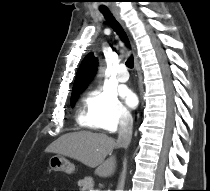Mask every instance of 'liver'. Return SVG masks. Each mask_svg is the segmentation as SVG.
<instances>
[{"mask_svg": "<svg viewBox=\"0 0 210 191\" xmlns=\"http://www.w3.org/2000/svg\"><path fill=\"white\" fill-rule=\"evenodd\" d=\"M118 147L115 140L106 134L90 131L71 132L62 135L46 148V152L67 156L84 165L95 168V173L109 177L116 169V158L110 156L113 149Z\"/></svg>", "mask_w": 210, "mask_h": 191, "instance_id": "obj_1", "label": "liver"}]
</instances>
